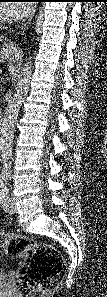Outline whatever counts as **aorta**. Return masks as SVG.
<instances>
[{"instance_id": "aorta-1", "label": "aorta", "mask_w": 107, "mask_h": 297, "mask_svg": "<svg viewBox=\"0 0 107 297\" xmlns=\"http://www.w3.org/2000/svg\"><path fill=\"white\" fill-rule=\"evenodd\" d=\"M31 75L32 64L31 61L26 60L20 70L16 91L8 102L0 128V152L3 162H6L12 155L15 125L24 97L29 90Z\"/></svg>"}]
</instances>
